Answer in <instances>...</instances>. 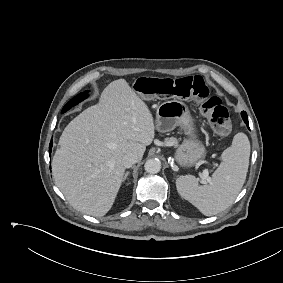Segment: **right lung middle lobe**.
Wrapping results in <instances>:
<instances>
[{"label":"right lung middle lobe","instance_id":"right-lung-middle-lobe-1","mask_svg":"<svg viewBox=\"0 0 283 283\" xmlns=\"http://www.w3.org/2000/svg\"><path fill=\"white\" fill-rule=\"evenodd\" d=\"M88 91L82 92L80 94H78L77 96H75L74 98H72L63 108L62 113L66 112L67 110H69L71 107H73L74 105L78 104L79 102L83 101L85 98L88 97Z\"/></svg>","mask_w":283,"mask_h":283}]
</instances>
